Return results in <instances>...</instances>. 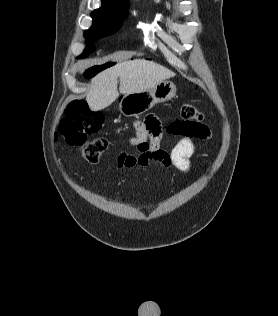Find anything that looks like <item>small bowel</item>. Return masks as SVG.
<instances>
[{"instance_id": "obj_1", "label": "small bowel", "mask_w": 278, "mask_h": 316, "mask_svg": "<svg viewBox=\"0 0 278 316\" xmlns=\"http://www.w3.org/2000/svg\"><path fill=\"white\" fill-rule=\"evenodd\" d=\"M135 135L129 144L136 148L135 154L122 152L116 159L118 170L134 167L146 168L150 162L160 163L165 168H174L183 173L191 169V158L197 151L192 138L204 140L209 138L210 132L205 126L198 136H186L172 149L165 150L161 146L163 126L154 115H149L145 121L134 123Z\"/></svg>"}]
</instances>
